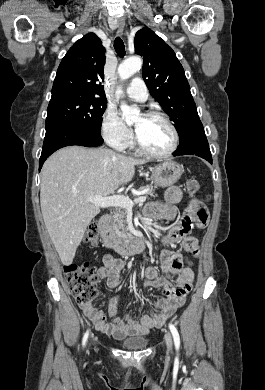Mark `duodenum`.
I'll return each instance as SVG.
<instances>
[{
    "label": "duodenum",
    "mask_w": 265,
    "mask_h": 390,
    "mask_svg": "<svg viewBox=\"0 0 265 390\" xmlns=\"http://www.w3.org/2000/svg\"><path fill=\"white\" fill-rule=\"evenodd\" d=\"M99 228L103 245L114 249L122 255L139 252L144 248L145 240L142 236H136L125 240L116 235L112 230V217L105 214L99 220Z\"/></svg>",
    "instance_id": "410a0bca"
}]
</instances>
